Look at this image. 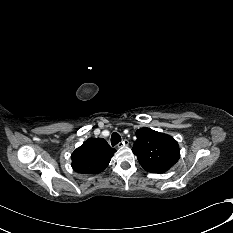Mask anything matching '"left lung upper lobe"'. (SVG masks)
Masks as SVG:
<instances>
[{
    "mask_svg": "<svg viewBox=\"0 0 233 233\" xmlns=\"http://www.w3.org/2000/svg\"><path fill=\"white\" fill-rule=\"evenodd\" d=\"M136 137L132 151L148 172L164 173L180 158L177 141L167 134L141 128L136 131Z\"/></svg>",
    "mask_w": 233,
    "mask_h": 233,
    "instance_id": "left-lung-upper-lobe-1",
    "label": "left lung upper lobe"
}]
</instances>
